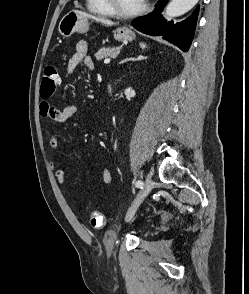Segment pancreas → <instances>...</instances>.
I'll list each match as a JSON object with an SVG mask.
<instances>
[{
    "instance_id": "cf45deb5",
    "label": "pancreas",
    "mask_w": 249,
    "mask_h": 294,
    "mask_svg": "<svg viewBox=\"0 0 249 294\" xmlns=\"http://www.w3.org/2000/svg\"><path fill=\"white\" fill-rule=\"evenodd\" d=\"M119 53L118 47L113 48H102L97 53H95V58L100 61L107 57L115 56Z\"/></svg>"
}]
</instances>
